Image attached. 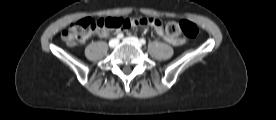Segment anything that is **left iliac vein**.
I'll return each instance as SVG.
<instances>
[{"label": "left iliac vein", "instance_id": "4c4485c4", "mask_svg": "<svg viewBox=\"0 0 276 120\" xmlns=\"http://www.w3.org/2000/svg\"><path fill=\"white\" fill-rule=\"evenodd\" d=\"M124 41L127 42V43H132V44H134L135 46H137L139 48H141V46H142L140 41L138 40V38H136L134 36L127 37V38L124 39Z\"/></svg>", "mask_w": 276, "mask_h": 120}]
</instances>
